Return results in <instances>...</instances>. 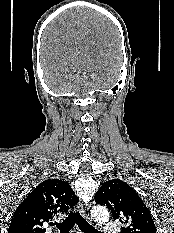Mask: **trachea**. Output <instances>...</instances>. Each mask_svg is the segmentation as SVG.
I'll return each instance as SVG.
<instances>
[{"label":"trachea","mask_w":174,"mask_h":233,"mask_svg":"<svg viewBox=\"0 0 174 233\" xmlns=\"http://www.w3.org/2000/svg\"><path fill=\"white\" fill-rule=\"evenodd\" d=\"M77 223L79 229L83 233H101L90 225L79 212L70 211L68 217L62 223H51V226H56L61 233H69L73 226Z\"/></svg>","instance_id":"1"}]
</instances>
